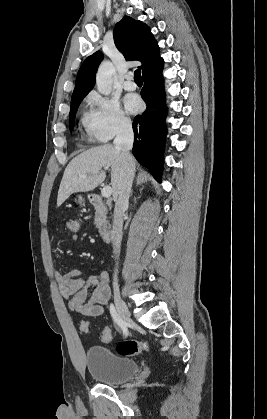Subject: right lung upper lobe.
Segmentation results:
<instances>
[{
	"instance_id": "1",
	"label": "right lung upper lobe",
	"mask_w": 267,
	"mask_h": 419,
	"mask_svg": "<svg viewBox=\"0 0 267 419\" xmlns=\"http://www.w3.org/2000/svg\"><path fill=\"white\" fill-rule=\"evenodd\" d=\"M114 42L128 61L138 60L142 74L161 63L159 47L149 27L141 21L124 16L114 28ZM103 59L100 51L85 59L81 65L72 98L86 96L95 85L96 71Z\"/></svg>"
}]
</instances>
